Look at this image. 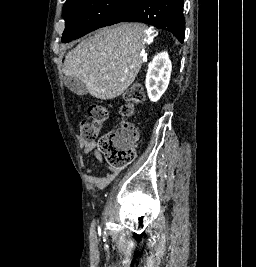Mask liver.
I'll use <instances>...</instances> for the list:
<instances>
[{
  "instance_id": "6515ba94",
  "label": "liver",
  "mask_w": 256,
  "mask_h": 267,
  "mask_svg": "<svg viewBox=\"0 0 256 267\" xmlns=\"http://www.w3.org/2000/svg\"><path fill=\"white\" fill-rule=\"evenodd\" d=\"M146 26L115 24L95 32L65 56L63 74L78 78L94 98L113 100L134 82L143 62Z\"/></svg>"
}]
</instances>
